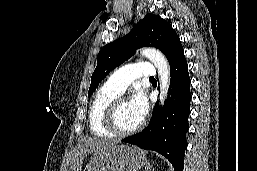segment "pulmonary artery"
<instances>
[{"label":"pulmonary artery","instance_id":"1","mask_svg":"<svg viewBox=\"0 0 257 171\" xmlns=\"http://www.w3.org/2000/svg\"><path fill=\"white\" fill-rule=\"evenodd\" d=\"M156 69L150 62H135L127 64L113 72L106 81V85L112 90L122 94L127 86L140 77H154Z\"/></svg>","mask_w":257,"mask_h":171}]
</instances>
